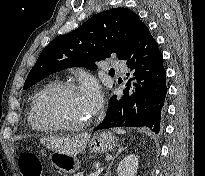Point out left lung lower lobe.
<instances>
[{
	"instance_id": "0a47b994",
	"label": "left lung lower lobe",
	"mask_w": 205,
	"mask_h": 176,
	"mask_svg": "<svg viewBox=\"0 0 205 176\" xmlns=\"http://www.w3.org/2000/svg\"><path fill=\"white\" fill-rule=\"evenodd\" d=\"M121 60H125L133 71L131 80L138 82L135 84L136 93L132 94L129 85L119 100L112 96L105 120L94 131L146 126L158 133L167 94L166 70L162 53L146 25L139 29Z\"/></svg>"
}]
</instances>
